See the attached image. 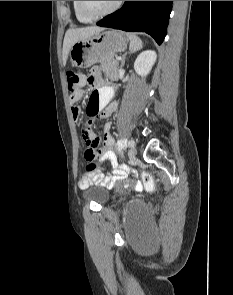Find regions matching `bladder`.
I'll list each match as a JSON object with an SVG mask.
<instances>
[{"label": "bladder", "instance_id": "bladder-1", "mask_svg": "<svg viewBox=\"0 0 233 295\" xmlns=\"http://www.w3.org/2000/svg\"><path fill=\"white\" fill-rule=\"evenodd\" d=\"M84 197L98 204L104 205L109 201V192L101 186H93L84 191ZM131 213H144V205L140 202H134L128 207Z\"/></svg>", "mask_w": 233, "mask_h": 295}]
</instances>
